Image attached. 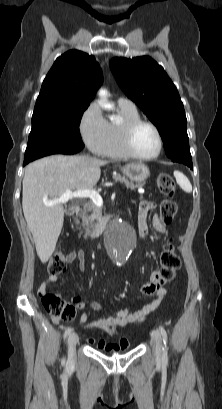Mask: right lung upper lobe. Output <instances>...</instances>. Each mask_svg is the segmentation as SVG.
Segmentation results:
<instances>
[{
  "instance_id": "1",
  "label": "right lung upper lobe",
  "mask_w": 222,
  "mask_h": 409,
  "mask_svg": "<svg viewBox=\"0 0 222 409\" xmlns=\"http://www.w3.org/2000/svg\"><path fill=\"white\" fill-rule=\"evenodd\" d=\"M102 83L94 56L71 50L56 59L43 81L35 108L89 104Z\"/></svg>"
}]
</instances>
